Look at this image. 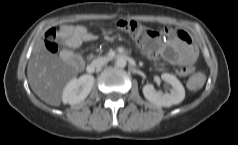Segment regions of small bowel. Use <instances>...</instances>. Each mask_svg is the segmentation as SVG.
<instances>
[{
  "label": "small bowel",
  "instance_id": "c3829d8e",
  "mask_svg": "<svg viewBox=\"0 0 238 145\" xmlns=\"http://www.w3.org/2000/svg\"><path fill=\"white\" fill-rule=\"evenodd\" d=\"M82 37H85V36H82ZM82 37H81V36H78V37L74 38V40H75V41H79ZM193 69H194L193 66H189V67L180 69L179 72H180V74L185 75V74H187V73L192 72Z\"/></svg>",
  "mask_w": 238,
  "mask_h": 145
}]
</instances>
